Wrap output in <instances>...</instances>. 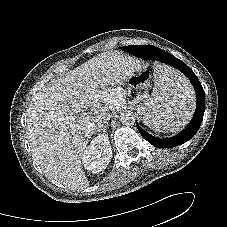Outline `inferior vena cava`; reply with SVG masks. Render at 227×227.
I'll return each instance as SVG.
<instances>
[{
    "mask_svg": "<svg viewBox=\"0 0 227 227\" xmlns=\"http://www.w3.org/2000/svg\"><path fill=\"white\" fill-rule=\"evenodd\" d=\"M109 119H110V116L104 119L97 120V123L95 124V128L99 129L102 126H105L108 123Z\"/></svg>",
    "mask_w": 227,
    "mask_h": 227,
    "instance_id": "inferior-vena-cava-1",
    "label": "inferior vena cava"
}]
</instances>
